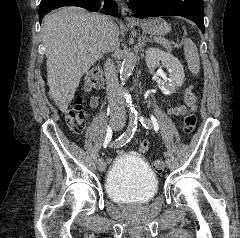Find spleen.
<instances>
[{"label": "spleen", "instance_id": "3e777b00", "mask_svg": "<svg viewBox=\"0 0 240 238\" xmlns=\"http://www.w3.org/2000/svg\"><path fill=\"white\" fill-rule=\"evenodd\" d=\"M184 53L189 70L193 74H198L200 70V59L198 50L195 43L189 38H186L184 40Z\"/></svg>", "mask_w": 240, "mask_h": 238}]
</instances>
